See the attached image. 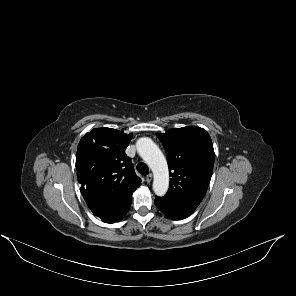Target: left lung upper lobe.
<instances>
[{
    "instance_id": "5c2ea615",
    "label": "left lung upper lobe",
    "mask_w": 296,
    "mask_h": 296,
    "mask_svg": "<svg viewBox=\"0 0 296 296\" xmlns=\"http://www.w3.org/2000/svg\"><path fill=\"white\" fill-rule=\"evenodd\" d=\"M164 145L170 172V186L161 203L196 209L206 194L213 165L214 149L210 135L200 127L174 128L158 133Z\"/></svg>"
}]
</instances>
